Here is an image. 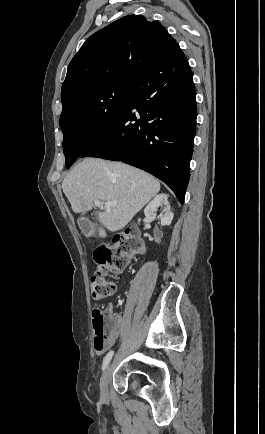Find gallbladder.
Here are the masks:
<instances>
[{
    "label": "gallbladder",
    "instance_id": "gallbladder-1",
    "mask_svg": "<svg viewBox=\"0 0 265 434\" xmlns=\"http://www.w3.org/2000/svg\"><path fill=\"white\" fill-rule=\"evenodd\" d=\"M79 224L81 226L82 231L85 232L87 238H92L94 236L95 226H92V224H90V221L88 219L85 218L80 219Z\"/></svg>",
    "mask_w": 265,
    "mask_h": 434
}]
</instances>
